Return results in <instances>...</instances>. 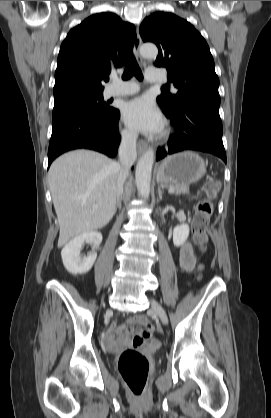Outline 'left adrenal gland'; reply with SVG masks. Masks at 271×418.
<instances>
[{
	"mask_svg": "<svg viewBox=\"0 0 271 418\" xmlns=\"http://www.w3.org/2000/svg\"><path fill=\"white\" fill-rule=\"evenodd\" d=\"M162 193H163V190L158 186L159 200H162Z\"/></svg>",
	"mask_w": 271,
	"mask_h": 418,
	"instance_id": "a2214340",
	"label": "left adrenal gland"
}]
</instances>
